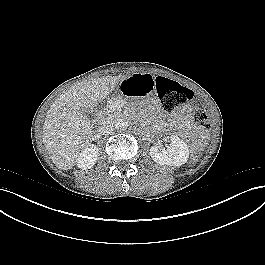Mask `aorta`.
<instances>
[{"label": "aorta", "mask_w": 265, "mask_h": 265, "mask_svg": "<svg viewBox=\"0 0 265 265\" xmlns=\"http://www.w3.org/2000/svg\"><path fill=\"white\" fill-rule=\"evenodd\" d=\"M115 127L119 130H125L127 128V122L123 119H117L114 122Z\"/></svg>", "instance_id": "1"}]
</instances>
